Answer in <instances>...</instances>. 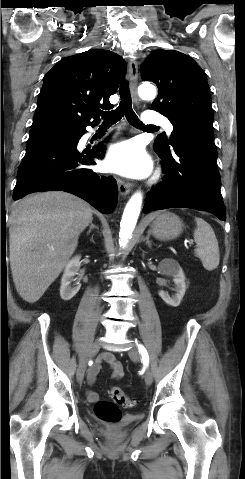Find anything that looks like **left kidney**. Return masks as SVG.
I'll use <instances>...</instances> for the list:
<instances>
[{
	"mask_svg": "<svg viewBox=\"0 0 245 479\" xmlns=\"http://www.w3.org/2000/svg\"><path fill=\"white\" fill-rule=\"evenodd\" d=\"M161 274L172 276L175 283V296L170 297L167 292L159 291V296L170 306L177 307L179 306L183 296L186 291L185 275L178 264L174 259L165 258L163 259L158 267Z\"/></svg>",
	"mask_w": 245,
	"mask_h": 479,
	"instance_id": "obj_1",
	"label": "left kidney"
}]
</instances>
